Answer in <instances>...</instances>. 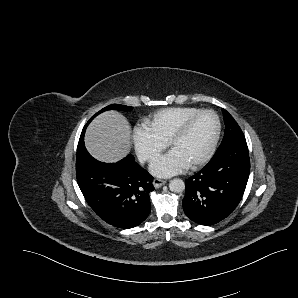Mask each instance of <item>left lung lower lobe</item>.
<instances>
[{"label": "left lung lower lobe", "mask_w": 298, "mask_h": 298, "mask_svg": "<svg viewBox=\"0 0 298 298\" xmlns=\"http://www.w3.org/2000/svg\"><path fill=\"white\" fill-rule=\"evenodd\" d=\"M250 172V159L245 139L232 142L217 151L197 174L185 180L183 210L192 221L213 225L239 204Z\"/></svg>", "instance_id": "0a47b994"}]
</instances>
